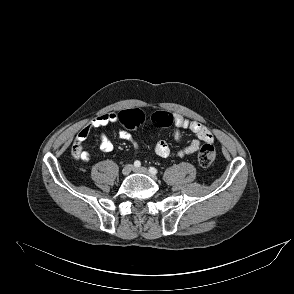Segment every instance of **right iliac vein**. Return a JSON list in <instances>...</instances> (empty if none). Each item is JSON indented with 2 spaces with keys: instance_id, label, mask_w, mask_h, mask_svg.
Wrapping results in <instances>:
<instances>
[{
  "instance_id": "obj_1",
  "label": "right iliac vein",
  "mask_w": 294,
  "mask_h": 294,
  "mask_svg": "<svg viewBox=\"0 0 294 294\" xmlns=\"http://www.w3.org/2000/svg\"><path fill=\"white\" fill-rule=\"evenodd\" d=\"M132 169H133V165H131V164H127V165H125L124 168L122 169V174H123L124 176H128V175L131 173Z\"/></svg>"
}]
</instances>
